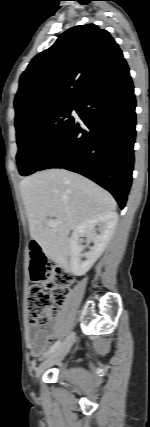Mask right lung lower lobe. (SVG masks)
I'll return each instance as SVG.
<instances>
[{
    "instance_id": "1",
    "label": "right lung lower lobe",
    "mask_w": 150,
    "mask_h": 427,
    "mask_svg": "<svg viewBox=\"0 0 150 427\" xmlns=\"http://www.w3.org/2000/svg\"><path fill=\"white\" fill-rule=\"evenodd\" d=\"M135 95L129 68L103 82L76 105L73 120L36 171L64 168L112 193L121 209L132 183Z\"/></svg>"
}]
</instances>
